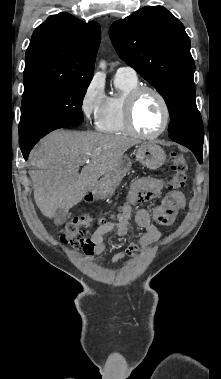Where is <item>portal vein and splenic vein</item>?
I'll return each instance as SVG.
<instances>
[{
	"mask_svg": "<svg viewBox=\"0 0 221 379\" xmlns=\"http://www.w3.org/2000/svg\"><path fill=\"white\" fill-rule=\"evenodd\" d=\"M85 162L88 163V162H89V159L85 160Z\"/></svg>",
	"mask_w": 221,
	"mask_h": 379,
	"instance_id": "18ae733b",
	"label": "portal vein and splenic vein"
}]
</instances>
